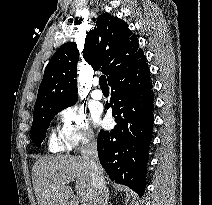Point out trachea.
Returning <instances> with one entry per match:
<instances>
[{
	"instance_id": "3493384b",
	"label": "trachea",
	"mask_w": 212,
	"mask_h": 205,
	"mask_svg": "<svg viewBox=\"0 0 212 205\" xmlns=\"http://www.w3.org/2000/svg\"><path fill=\"white\" fill-rule=\"evenodd\" d=\"M99 85H100L101 88H108L107 79H106L105 75H102L99 78Z\"/></svg>"
}]
</instances>
